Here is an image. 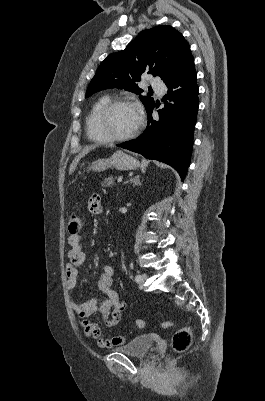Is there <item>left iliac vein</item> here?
Segmentation results:
<instances>
[{
  "label": "left iliac vein",
  "instance_id": "4c4485c4",
  "mask_svg": "<svg viewBox=\"0 0 265 401\" xmlns=\"http://www.w3.org/2000/svg\"><path fill=\"white\" fill-rule=\"evenodd\" d=\"M138 277H139V284L141 285V287H143V283L147 279V275L146 274H139Z\"/></svg>",
  "mask_w": 265,
  "mask_h": 401
}]
</instances>
